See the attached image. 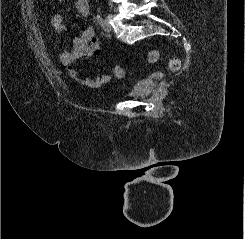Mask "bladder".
<instances>
[{"label": "bladder", "instance_id": "obj_1", "mask_svg": "<svg viewBox=\"0 0 245 239\" xmlns=\"http://www.w3.org/2000/svg\"><path fill=\"white\" fill-rule=\"evenodd\" d=\"M155 87L153 80H140L129 87L125 93L126 98H135L150 93Z\"/></svg>", "mask_w": 245, "mask_h": 239}]
</instances>
